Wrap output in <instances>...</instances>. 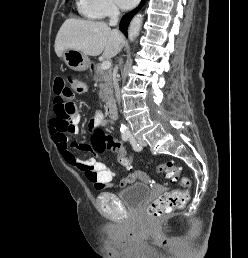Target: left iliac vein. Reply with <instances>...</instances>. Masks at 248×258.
Instances as JSON below:
<instances>
[{"label":"left iliac vein","mask_w":248,"mask_h":258,"mask_svg":"<svg viewBox=\"0 0 248 258\" xmlns=\"http://www.w3.org/2000/svg\"><path fill=\"white\" fill-rule=\"evenodd\" d=\"M138 143L141 147H144L147 144L146 141L140 137L138 138Z\"/></svg>","instance_id":"obj_1"}]
</instances>
